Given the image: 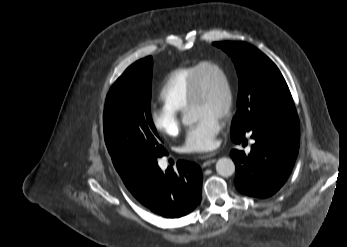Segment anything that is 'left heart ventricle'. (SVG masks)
I'll list each match as a JSON object with an SVG mask.
<instances>
[{
    "label": "left heart ventricle",
    "mask_w": 347,
    "mask_h": 247,
    "mask_svg": "<svg viewBox=\"0 0 347 247\" xmlns=\"http://www.w3.org/2000/svg\"><path fill=\"white\" fill-rule=\"evenodd\" d=\"M226 103V89L222 76L214 69L202 72V98L199 103L189 107L194 119L205 115L221 117Z\"/></svg>",
    "instance_id": "1"
}]
</instances>
